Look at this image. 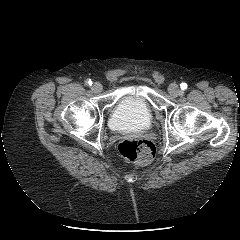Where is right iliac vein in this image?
Returning a JSON list of instances; mask_svg holds the SVG:
<instances>
[{
    "mask_svg": "<svg viewBox=\"0 0 240 240\" xmlns=\"http://www.w3.org/2000/svg\"><path fill=\"white\" fill-rule=\"evenodd\" d=\"M91 89L94 93H100L103 90V86L100 83H94Z\"/></svg>",
    "mask_w": 240,
    "mask_h": 240,
    "instance_id": "1",
    "label": "right iliac vein"
}]
</instances>
